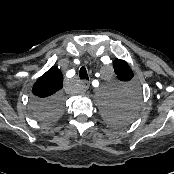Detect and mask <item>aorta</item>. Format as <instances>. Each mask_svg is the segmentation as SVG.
<instances>
[{"mask_svg":"<svg viewBox=\"0 0 174 174\" xmlns=\"http://www.w3.org/2000/svg\"><path fill=\"white\" fill-rule=\"evenodd\" d=\"M100 94L102 96V98L104 99H109L110 95H111V91L110 90H104V89H100Z\"/></svg>","mask_w":174,"mask_h":174,"instance_id":"762f6f07","label":"aorta"}]
</instances>
